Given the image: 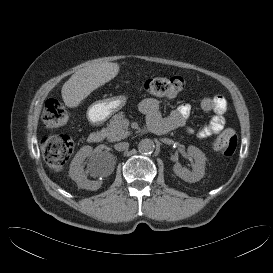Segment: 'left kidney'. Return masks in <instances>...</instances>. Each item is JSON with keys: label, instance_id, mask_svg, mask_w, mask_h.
Here are the masks:
<instances>
[{"label": "left kidney", "instance_id": "left-kidney-1", "mask_svg": "<svg viewBox=\"0 0 273 273\" xmlns=\"http://www.w3.org/2000/svg\"><path fill=\"white\" fill-rule=\"evenodd\" d=\"M188 154L191 156L195 163L193 165V170L182 167L181 164L176 163L173 167L175 174L186 182H197L201 180L205 175V163L206 157L204 153L195 146L188 147Z\"/></svg>", "mask_w": 273, "mask_h": 273}]
</instances>
